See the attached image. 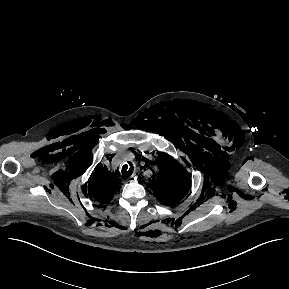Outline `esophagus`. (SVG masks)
I'll use <instances>...</instances> for the list:
<instances>
[{"label": "esophagus", "mask_w": 289, "mask_h": 289, "mask_svg": "<svg viewBox=\"0 0 289 289\" xmlns=\"http://www.w3.org/2000/svg\"><path fill=\"white\" fill-rule=\"evenodd\" d=\"M137 175L136 174H134V176H132V180H130V181H134V180H137ZM134 179V180H133Z\"/></svg>", "instance_id": "1"}]
</instances>
